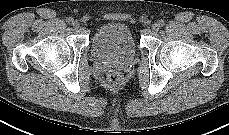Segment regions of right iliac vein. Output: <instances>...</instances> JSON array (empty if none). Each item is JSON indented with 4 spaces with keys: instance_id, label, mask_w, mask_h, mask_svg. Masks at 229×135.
Returning <instances> with one entry per match:
<instances>
[{
    "instance_id": "1",
    "label": "right iliac vein",
    "mask_w": 229,
    "mask_h": 135,
    "mask_svg": "<svg viewBox=\"0 0 229 135\" xmlns=\"http://www.w3.org/2000/svg\"><path fill=\"white\" fill-rule=\"evenodd\" d=\"M72 24H73V27H74L75 29L79 28V26H80V24H79L78 21H73Z\"/></svg>"
}]
</instances>
